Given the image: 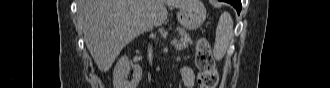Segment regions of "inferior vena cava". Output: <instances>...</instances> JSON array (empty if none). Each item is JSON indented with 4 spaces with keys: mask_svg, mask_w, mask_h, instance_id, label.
I'll return each instance as SVG.
<instances>
[{
    "mask_svg": "<svg viewBox=\"0 0 330 88\" xmlns=\"http://www.w3.org/2000/svg\"><path fill=\"white\" fill-rule=\"evenodd\" d=\"M152 46H148V58H149V61L152 62Z\"/></svg>",
    "mask_w": 330,
    "mask_h": 88,
    "instance_id": "1",
    "label": "inferior vena cava"
}]
</instances>
